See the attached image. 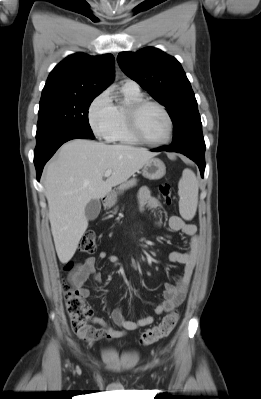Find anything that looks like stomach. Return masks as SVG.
<instances>
[{
  "label": "stomach",
  "instance_id": "obj_1",
  "mask_svg": "<svg viewBox=\"0 0 261 399\" xmlns=\"http://www.w3.org/2000/svg\"><path fill=\"white\" fill-rule=\"evenodd\" d=\"M143 176L150 180H158L161 179L166 174V166L158 158H151L142 169ZM117 202V194L116 192L110 193L106 200L105 205L108 207H112Z\"/></svg>",
  "mask_w": 261,
  "mask_h": 399
}]
</instances>
